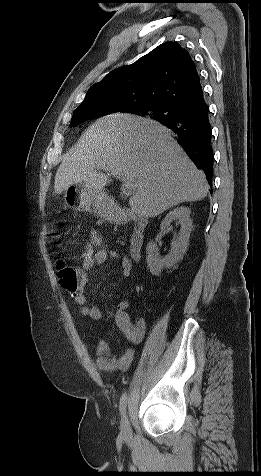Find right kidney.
<instances>
[{"label":"right kidney","mask_w":261,"mask_h":476,"mask_svg":"<svg viewBox=\"0 0 261 476\" xmlns=\"http://www.w3.org/2000/svg\"><path fill=\"white\" fill-rule=\"evenodd\" d=\"M190 209L188 207H177L170 211L160 224L161 232L166 233L172 229L171 222L178 220L180 224V232L176 239L172 242L171 252L163 259L156 255L158 251L155 242H149L146 247V261L152 275L159 276L161 270L173 267L181 260L187 251L189 245L190 233L192 230V220L190 219Z\"/></svg>","instance_id":"obj_1"}]
</instances>
